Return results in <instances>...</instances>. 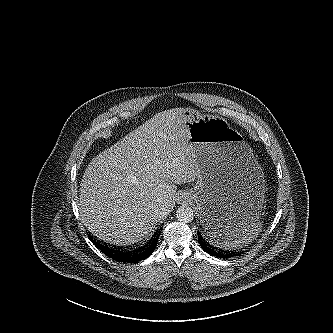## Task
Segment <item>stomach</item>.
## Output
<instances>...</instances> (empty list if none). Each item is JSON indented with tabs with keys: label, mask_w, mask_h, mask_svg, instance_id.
<instances>
[{
	"label": "stomach",
	"mask_w": 333,
	"mask_h": 333,
	"mask_svg": "<svg viewBox=\"0 0 333 333\" xmlns=\"http://www.w3.org/2000/svg\"><path fill=\"white\" fill-rule=\"evenodd\" d=\"M188 143L197 170L190 198L200 212V227L219 248H242L258 233L265 181L244 137L219 116L186 108Z\"/></svg>",
	"instance_id": "1"
}]
</instances>
